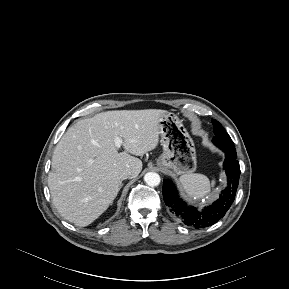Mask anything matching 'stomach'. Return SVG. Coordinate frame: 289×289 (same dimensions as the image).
Segmentation results:
<instances>
[{
    "label": "stomach",
    "mask_w": 289,
    "mask_h": 289,
    "mask_svg": "<svg viewBox=\"0 0 289 289\" xmlns=\"http://www.w3.org/2000/svg\"><path fill=\"white\" fill-rule=\"evenodd\" d=\"M158 125L163 152L157 166L170 169L176 175L192 174L196 170V150L182 120L178 115L165 111Z\"/></svg>",
    "instance_id": "stomach-1"
}]
</instances>
